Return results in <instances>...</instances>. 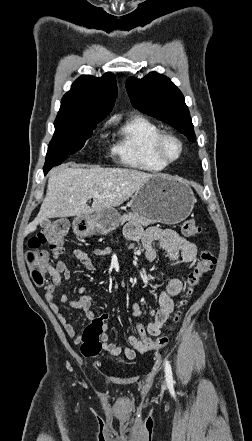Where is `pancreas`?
Listing matches in <instances>:
<instances>
[{"mask_svg": "<svg viewBox=\"0 0 252 441\" xmlns=\"http://www.w3.org/2000/svg\"><path fill=\"white\" fill-rule=\"evenodd\" d=\"M121 221L122 222L135 221V222H138V223H140V224H142L144 226H147L149 224L154 223L153 221L148 220V219H146V218H144V217H142L139 214L134 213V212H129V213L124 214L121 217Z\"/></svg>", "mask_w": 252, "mask_h": 441, "instance_id": "pancreas-1", "label": "pancreas"}]
</instances>
